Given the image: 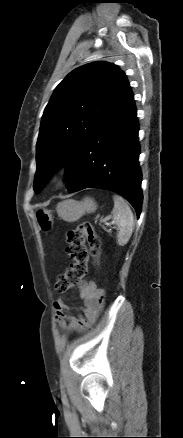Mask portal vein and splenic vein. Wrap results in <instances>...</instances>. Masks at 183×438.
<instances>
[{"mask_svg": "<svg viewBox=\"0 0 183 438\" xmlns=\"http://www.w3.org/2000/svg\"><path fill=\"white\" fill-rule=\"evenodd\" d=\"M110 220V217H106L102 220V222L104 223V225L109 226L110 223L108 222Z\"/></svg>", "mask_w": 183, "mask_h": 438, "instance_id": "1", "label": "portal vein and splenic vein"}]
</instances>
